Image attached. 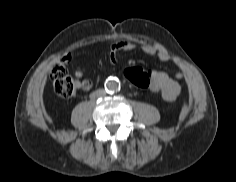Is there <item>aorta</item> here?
<instances>
[{
  "label": "aorta",
  "instance_id": "obj_1",
  "mask_svg": "<svg viewBox=\"0 0 236 182\" xmlns=\"http://www.w3.org/2000/svg\"><path fill=\"white\" fill-rule=\"evenodd\" d=\"M105 89L108 92L115 93L120 90V82L118 79L109 78L105 82Z\"/></svg>",
  "mask_w": 236,
  "mask_h": 182
}]
</instances>
